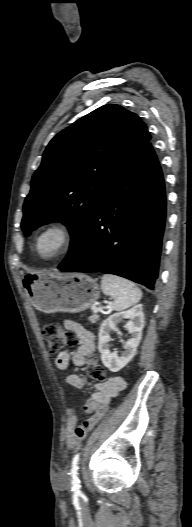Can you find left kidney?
I'll return each instance as SVG.
<instances>
[{
	"label": "left kidney",
	"mask_w": 192,
	"mask_h": 527,
	"mask_svg": "<svg viewBox=\"0 0 192 527\" xmlns=\"http://www.w3.org/2000/svg\"><path fill=\"white\" fill-rule=\"evenodd\" d=\"M123 319H129L124 327L131 334V339L124 343L125 351L118 356L116 352L109 350L108 342L111 340V331L116 330L117 324ZM143 328L144 313L142 305H136L127 311L112 314L104 320L99 330L98 341V349L104 366L112 372H118L125 367L136 354Z\"/></svg>",
	"instance_id": "left-kidney-1"
}]
</instances>
